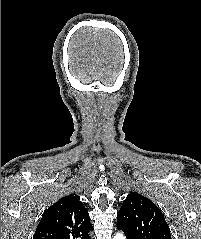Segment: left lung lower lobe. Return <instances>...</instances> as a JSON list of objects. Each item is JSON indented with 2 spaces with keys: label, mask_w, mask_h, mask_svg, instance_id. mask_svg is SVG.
Listing matches in <instances>:
<instances>
[{
  "label": "left lung lower lobe",
  "mask_w": 201,
  "mask_h": 239,
  "mask_svg": "<svg viewBox=\"0 0 201 239\" xmlns=\"http://www.w3.org/2000/svg\"><path fill=\"white\" fill-rule=\"evenodd\" d=\"M126 235V234H125ZM126 238L127 239H134V238H132L131 236H129V235H126Z\"/></svg>",
  "instance_id": "0a47b994"
}]
</instances>
